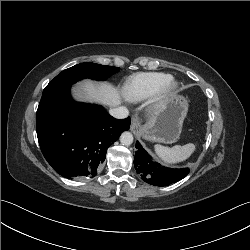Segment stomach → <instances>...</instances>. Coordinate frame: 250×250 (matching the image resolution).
<instances>
[{
	"instance_id": "obj_1",
	"label": "stomach",
	"mask_w": 250,
	"mask_h": 250,
	"mask_svg": "<svg viewBox=\"0 0 250 250\" xmlns=\"http://www.w3.org/2000/svg\"><path fill=\"white\" fill-rule=\"evenodd\" d=\"M188 111V102L181 95L166 100L153 118L141 129V136L150 141L174 143L180 136L184 119Z\"/></svg>"
}]
</instances>
